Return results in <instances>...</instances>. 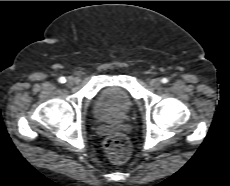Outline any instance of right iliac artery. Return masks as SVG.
I'll use <instances>...</instances> for the list:
<instances>
[{
  "label": "right iliac artery",
  "mask_w": 230,
  "mask_h": 186,
  "mask_svg": "<svg viewBox=\"0 0 230 186\" xmlns=\"http://www.w3.org/2000/svg\"><path fill=\"white\" fill-rule=\"evenodd\" d=\"M60 83H65L66 82V79L64 77H60L59 80H58Z\"/></svg>",
  "instance_id": "1"
}]
</instances>
